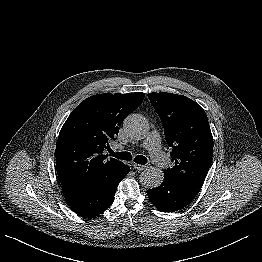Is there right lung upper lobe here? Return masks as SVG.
Instances as JSON below:
<instances>
[{
    "instance_id": "obj_1",
    "label": "right lung upper lobe",
    "mask_w": 262,
    "mask_h": 262,
    "mask_svg": "<svg viewBox=\"0 0 262 262\" xmlns=\"http://www.w3.org/2000/svg\"><path fill=\"white\" fill-rule=\"evenodd\" d=\"M145 94H98L81 102L62 126L56 144V168L62 187H78L111 179L125 164L106 160L103 151L115 140L127 115L142 103Z\"/></svg>"
}]
</instances>
